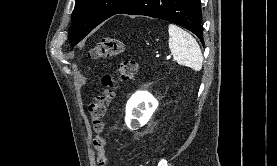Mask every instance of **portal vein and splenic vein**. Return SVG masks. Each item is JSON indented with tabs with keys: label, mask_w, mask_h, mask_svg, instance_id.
<instances>
[{
	"label": "portal vein and splenic vein",
	"mask_w": 277,
	"mask_h": 166,
	"mask_svg": "<svg viewBox=\"0 0 277 166\" xmlns=\"http://www.w3.org/2000/svg\"><path fill=\"white\" fill-rule=\"evenodd\" d=\"M156 57H159V55H156ZM170 58V57H169ZM169 58H167V59H169Z\"/></svg>",
	"instance_id": "1"
}]
</instances>
